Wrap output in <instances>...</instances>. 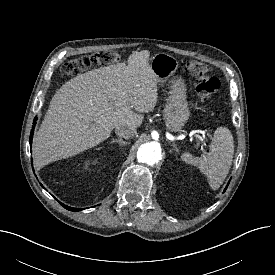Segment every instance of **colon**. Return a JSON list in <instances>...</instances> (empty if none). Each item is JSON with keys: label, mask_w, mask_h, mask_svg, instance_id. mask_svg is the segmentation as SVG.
Returning a JSON list of instances; mask_svg holds the SVG:
<instances>
[{"label": "colon", "mask_w": 275, "mask_h": 275, "mask_svg": "<svg viewBox=\"0 0 275 275\" xmlns=\"http://www.w3.org/2000/svg\"><path fill=\"white\" fill-rule=\"evenodd\" d=\"M118 60L119 55L114 51H99L64 63L61 73L65 76L77 75L87 69L110 65ZM185 70L193 80L201 100L210 103L220 87V81L212 74L211 66L201 61L191 60L186 63Z\"/></svg>", "instance_id": "1"}]
</instances>
